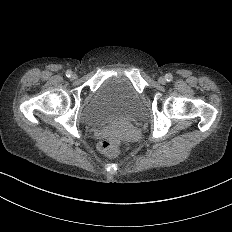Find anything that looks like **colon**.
<instances>
[{
  "label": "colon",
  "instance_id": "1",
  "mask_svg": "<svg viewBox=\"0 0 232 232\" xmlns=\"http://www.w3.org/2000/svg\"><path fill=\"white\" fill-rule=\"evenodd\" d=\"M100 149L104 153H111L115 149V141L111 137H104L100 141Z\"/></svg>",
  "mask_w": 232,
  "mask_h": 232
}]
</instances>
